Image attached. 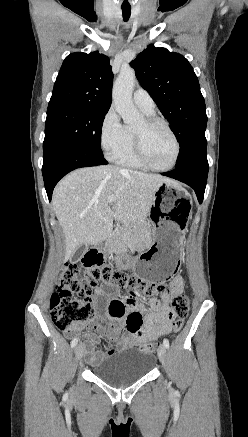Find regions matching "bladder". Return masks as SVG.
<instances>
[{
  "label": "bladder",
  "instance_id": "1",
  "mask_svg": "<svg viewBox=\"0 0 248 437\" xmlns=\"http://www.w3.org/2000/svg\"><path fill=\"white\" fill-rule=\"evenodd\" d=\"M154 361L150 353L128 349L106 358L93 373L103 382L120 388L145 377Z\"/></svg>",
  "mask_w": 248,
  "mask_h": 437
}]
</instances>
